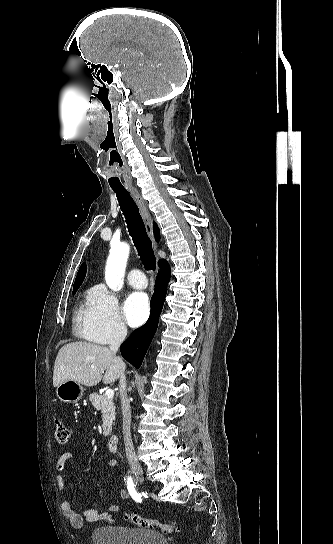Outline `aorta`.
I'll use <instances>...</instances> for the list:
<instances>
[{
	"label": "aorta",
	"mask_w": 333,
	"mask_h": 544,
	"mask_svg": "<svg viewBox=\"0 0 333 544\" xmlns=\"http://www.w3.org/2000/svg\"><path fill=\"white\" fill-rule=\"evenodd\" d=\"M129 250V245L125 243L113 246L110 250L105 270V281L107 286L114 291L120 289Z\"/></svg>",
	"instance_id": "obj_1"
}]
</instances>
